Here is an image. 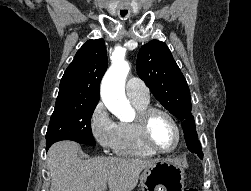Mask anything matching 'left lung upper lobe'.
<instances>
[{"label":"left lung upper lobe","instance_id":"5c2ea615","mask_svg":"<svg viewBox=\"0 0 251 191\" xmlns=\"http://www.w3.org/2000/svg\"><path fill=\"white\" fill-rule=\"evenodd\" d=\"M136 66L139 77L154 97L182 121L188 149L202 159L203 152L191 113L190 91L167 45L158 40L143 45L138 53Z\"/></svg>","mask_w":251,"mask_h":191}]
</instances>
